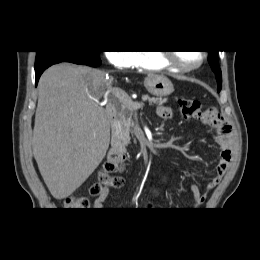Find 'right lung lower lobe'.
Segmentation results:
<instances>
[{
	"label": "right lung lower lobe",
	"instance_id": "98d812e1",
	"mask_svg": "<svg viewBox=\"0 0 260 260\" xmlns=\"http://www.w3.org/2000/svg\"><path fill=\"white\" fill-rule=\"evenodd\" d=\"M60 62H71V63L87 65L91 67H97L101 64L100 57L86 55V54H78L73 52L58 53L44 60L39 65L35 66L36 84L38 83L41 74L46 68Z\"/></svg>",
	"mask_w": 260,
	"mask_h": 260
}]
</instances>
